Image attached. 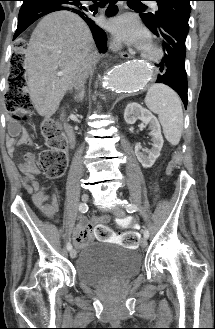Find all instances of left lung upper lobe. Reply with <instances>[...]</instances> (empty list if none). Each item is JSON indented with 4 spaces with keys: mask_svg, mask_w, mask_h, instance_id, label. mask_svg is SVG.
<instances>
[{
    "mask_svg": "<svg viewBox=\"0 0 215 329\" xmlns=\"http://www.w3.org/2000/svg\"><path fill=\"white\" fill-rule=\"evenodd\" d=\"M158 4V11L140 14L144 24L150 29H156L162 22L177 25L186 33L189 31L188 20L190 17L192 0H154Z\"/></svg>",
    "mask_w": 215,
    "mask_h": 329,
    "instance_id": "left-lung-upper-lobe-1",
    "label": "left lung upper lobe"
}]
</instances>
